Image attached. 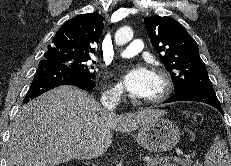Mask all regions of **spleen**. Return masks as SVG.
<instances>
[{
    "mask_svg": "<svg viewBox=\"0 0 231 166\" xmlns=\"http://www.w3.org/2000/svg\"><path fill=\"white\" fill-rule=\"evenodd\" d=\"M219 138L217 135L210 146L205 156V166H231L227 143L224 140H219Z\"/></svg>",
    "mask_w": 231,
    "mask_h": 166,
    "instance_id": "3e777b00",
    "label": "spleen"
}]
</instances>
